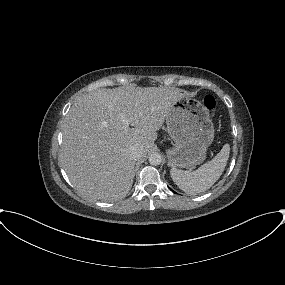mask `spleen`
<instances>
[{"label": "spleen", "instance_id": "obj_1", "mask_svg": "<svg viewBox=\"0 0 285 285\" xmlns=\"http://www.w3.org/2000/svg\"><path fill=\"white\" fill-rule=\"evenodd\" d=\"M230 153L229 144H225L220 152L196 171L170 170L174 183L186 194L194 195L208 190L222 175Z\"/></svg>", "mask_w": 285, "mask_h": 285}]
</instances>
